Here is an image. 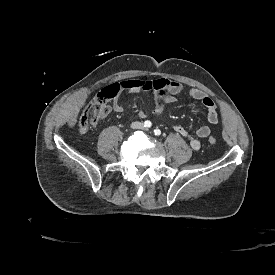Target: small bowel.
<instances>
[{"mask_svg":"<svg viewBox=\"0 0 275 275\" xmlns=\"http://www.w3.org/2000/svg\"><path fill=\"white\" fill-rule=\"evenodd\" d=\"M121 84H124V90H126L127 95H134L141 91H151L155 100V107L152 110V114L154 116H159L162 114L165 104L176 101L179 96H186L202 103L206 109V118L210 125H216L219 122L217 104L210 96L199 88L185 87L181 83L168 78H158L151 81L130 80ZM111 108L116 113H120L124 109L122 102L118 98L113 100ZM146 116L147 114L145 112H139L140 118H145ZM97 125V121L92 123L93 127H96ZM172 128L179 135L186 137L194 149H198L200 147L199 138H206L211 133V128L209 125L200 126L196 130V137L193 136L187 128L181 124L176 123L172 126ZM86 131L80 132L85 133Z\"/></svg>","mask_w":275,"mask_h":275,"instance_id":"small-bowel-1","label":"small bowel"}]
</instances>
